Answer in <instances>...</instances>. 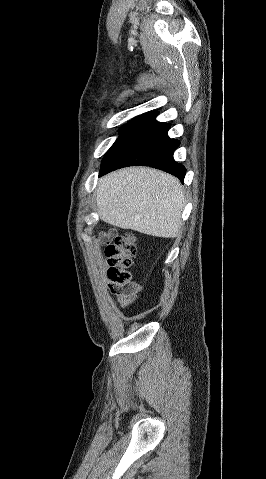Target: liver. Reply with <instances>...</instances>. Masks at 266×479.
Wrapping results in <instances>:
<instances>
[{
    "mask_svg": "<svg viewBox=\"0 0 266 479\" xmlns=\"http://www.w3.org/2000/svg\"><path fill=\"white\" fill-rule=\"evenodd\" d=\"M100 218L113 226L172 238L180 234L184 190L170 174L128 167L102 177L96 188Z\"/></svg>",
    "mask_w": 266,
    "mask_h": 479,
    "instance_id": "obj_1",
    "label": "liver"
}]
</instances>
